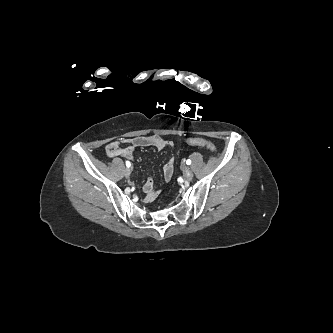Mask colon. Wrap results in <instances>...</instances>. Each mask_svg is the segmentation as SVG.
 <instances>
[{"label":"colon","instance_id":"colon-1","mask_svg":"<svg viewBox=\"0 0 333 333\" xmlns=\"http://www.w3.org/2000/svg\"><path fill=\"white\" fill-rule=\"evenodd\" d=\"M187 144L191 145V146H198V147H202L205 148L211 152L215 151V146L209 142L206 139L203 138H197V137H193V138H188L186 140Z\"/></svg>","mask_w":333,"mask_h":333}]
</instances>
